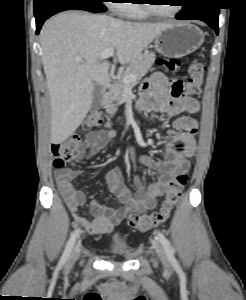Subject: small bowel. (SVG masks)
<instances>
[{
	"mask_svg": "<svg viewBox=\"0 0 246 300\" xmlns=\"http://www.w3.org/2000/svg\"><path fill=\"white\" fill-rule=\"evenodd\" d=\"M136 108L176 115L194 112V109L198 108V103L193 97L182 93L181 81L170 80L164 74L156 72L144 80ZM172 128L175 133L164 148L162 160L146 156L141 158V164L157 175L148 185L136 178L135 195L123 184L122 170L119 167L103 175L110 192L123 207L118 209L105 203L92 201L90 204V211L94 215L92 221L85 220L79 214V209L86 202L85 194L73 185V179L79 175V171L71 168L55 170L56 182L75 221L83 225L88 233L94 235L108 233L116 224L123 221L128 213L153 209L157 200L166 192L171 180L178 173L188 170L189 158L196 150L197 122L191 116L182 115L173 121ZM116 136L117 133L113 130L91 133L84 143L83 148L86 153L82 158L93 157Z\"/></svg>",
	"mask_w": 246,
	"mask_h": 300,
	"instance_id": "c3829d8e",
	"label": "small bowel"
}]
</instances>
